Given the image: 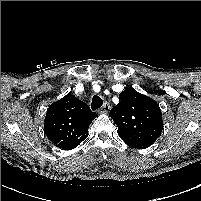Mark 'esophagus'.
Segmentation results:
<instances>
[{
    "mask_svg": "<svg viewBox=\"0 0 201 201\" xmlns=\"http://www.w3.org/2000/svg\"><path fill=\"white\" fill-rule=\"evenodd\" d=\"M110 108V104L106 102L100 109V113H108L110 111Z\"/></svg>",
    "mask_w": 201,
    "mask_h": 201,
    "instance_id": "34e87169",
    "label": "esophagus"
}]
</instances>
